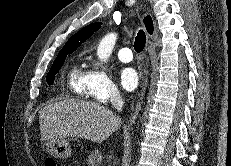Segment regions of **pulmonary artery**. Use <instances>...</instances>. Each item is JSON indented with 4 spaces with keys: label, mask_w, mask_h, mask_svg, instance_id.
Segmentation results:
<instances>
[{
    "label": "pulmonary artery",
    "mask_w": 231,
    "mask_h": 166,
    "mask_svg": "<svg viewBox=\"0 0 231 166\" xmlns=\"http://www.w3.org/2000/svg\"><path fill=\"white\" fill-rule=\"evenodd\" d=\"M118 58L122 62H130L133 58L131 49L129 47H122L118 51Z\"/></svg>",
    "instance_id": "obj_1"
}]
</instances>
